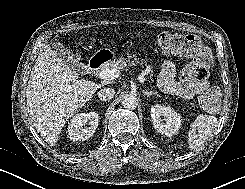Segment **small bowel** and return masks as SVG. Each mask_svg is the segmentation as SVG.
I'll return each mask as SVG.
<instances>
[{
    "mask_svg": "<svg viewBox=\"0 0 245 189\" xmlns=\"http://www.w3.org/2000/svg\"><path fill=\"white\" fill-rule=\"evenodd\" d=\"M159 71L158 86L167 94L177 95L184 99H191L204 93L208 89L207 80L193 85H182L174 81L175 65L170 61L161 63Z\"/></svg>",
    "mask_w": 245,
    "mask_h": 189,
    "instance_id": "obj_1",
    "label": "small bowel"
}]
</instances>
